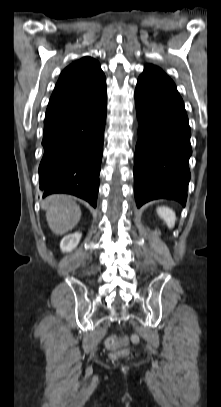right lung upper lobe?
Segmentation results:
<instances>
[{
	"mask_svg": "<svg viewBox=\"0 0 221 407\" xmlns=\"http://www.w3.org/2000/svg\"><path fill=\"white\" fill-rule=\"evenodd\" d=\"M106 88V79L100 64L83 57L66 67L55 86L47 110L86 100Z\"/></svg>",
	"mask_w": 221,
	"mask_h": 407,
	"instance_id": "cb5924a9",
	"label": "right lung upper lobe"
}]
</instances>
